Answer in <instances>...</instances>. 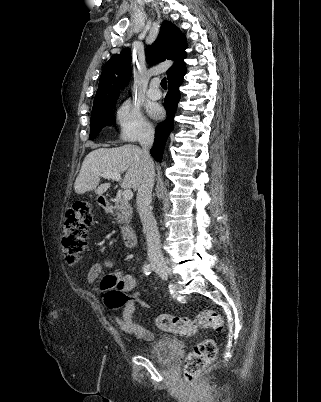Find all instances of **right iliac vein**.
<instances>
[{"label":"right iliac vein","instance_id":"right-iliac-vein-1","mask_svg":"<svg viewBox=\"0 0 321 402\" xmlns=\"http://www.w3.org/2000/svg\"><path fill=\"white\" fill-rule=\"evenodd\" d=\"M161 272H164V273H166V274H170V273H171V270H170L169 268L165 267V268H162V269H161Z\"/></svg>","mask_w":321,"mask_h":402}]
</instances>
